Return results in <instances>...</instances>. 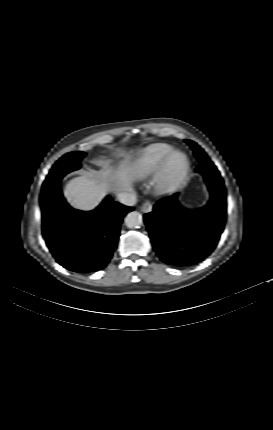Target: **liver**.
<instances>
[{
    "label": "liver",
    "instance_id": "obj_1",
    "mask_svg": "<svg viewBox=\"0 0 273 430\" xmlns=\"http://www.w3.org/2000/svg\"><path fill=\"white\" fill-rule=\"evenodd\" d=\"M143 170V164H131L128 160L120 162L115 169L104 166L96 178L82 175L70 180L64 190V196L74 209L90 212L101 204L113 187L132 191L131 181Z\"/></svg>",
    "mask_w": 273,
    "mask_h": 430
}]
</instances>
